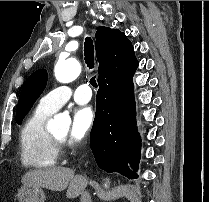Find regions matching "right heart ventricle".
Segmentation results:
<instances>
[{
	"label": "right heart ventricle",
	"instance_id": "obj_1",
	"mask_svg": "<svg viewBox=\"0 0 209 202\" xmlns=\"http://www.w3.org/2000/svg\"><path fill=\"white\" fill-rule=\"evenodd\" d=\"M53 114L37 107L24 121L20 131V158L23 165L44 169L58 159V148L46 130L47 119Z\"/></svg>",
	"mask_w": 209,
	"mask_h": 202
}]
</instances>
